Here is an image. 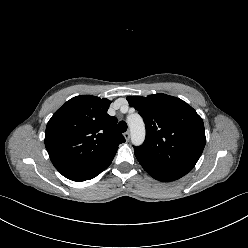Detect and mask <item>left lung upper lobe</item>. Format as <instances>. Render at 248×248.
Here are the masks:
<instances>
[{"label":"left lung upper lobe","instance_id":"left-lung-upper-lobe-1","mask_svg":"<svg viewBox=\"0 0 248 248\" xmlns=\"http://www.w3.org/2000/svg\"><path fill=\"white\" fill-rule=\"evenodd\" d=\"M146 126V138L134 153L143 168L186 175L197 163L205 142L202 118L183 100L166 94L128 96Z\"/></svg>","mask_w":248,"mask_h":248}]
</instances>
